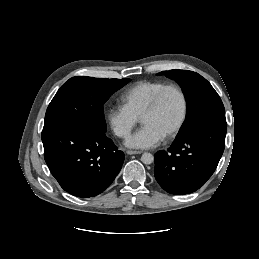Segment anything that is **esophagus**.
Instances as JSON below:
<instances>
[{
    "label": "esophagus",
    "instance_id": "34e87169",
    "mask_svg": "<svg viewBox=\"0 0 259 259\" xmlns=\"http://www.w3.org/2000/svg\"><path fill=\"white\" fill-rule=\"evenodd\" d=\"M126 153L128 155H135V154H141V151H134V150H127Z\"/></svg>",
    "mask_w": 259,
    "mask_h": 259
}]
</instances>
